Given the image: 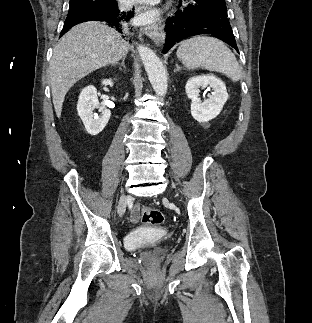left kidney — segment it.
I'll list each match as a JSON object with an SVG mask.
<instances>
[{"instance_id": "obj_1", "label": "left kidney", "mask_w": 312, "mask_h": 323, "mask_svg": "<svg viewBox=\"0 0 312 323\" xmlns=\"http://www.w3.org/2000/svg\"><path fill=\"white\" fill-rule=\"evenodd\" d=\"M199 88H207V90L212 88L208 100H204V102L199 100ZM185 90L189 100H191V116L197 122H209V120L216 118L228 98L225 84H223L222 80H218L216 76L190 78Z\"/></svg>"}]
</instances>
